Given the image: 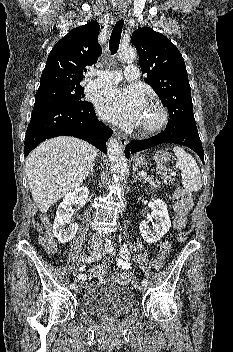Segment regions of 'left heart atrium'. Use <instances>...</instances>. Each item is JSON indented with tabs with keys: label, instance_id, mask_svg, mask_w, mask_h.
Listing matches in <instances>:
<instances>
[{
	"label": "left heart atrium",
	"instance_id": "1",
	"mask_svg": "<svg viewBox=\"0 0 233 352\" xmlns=\"http://www.w3.org/2000/svg\"><path fill=\"white\" fill-rule=\"evenodd\" d=\"M146 101L136 87H111L102 90L96 98L99 115L122 127H133L140 122Z\"/></svg>",
	"mask_w": 233,
	"mask_h": 352
}]
</instances>
